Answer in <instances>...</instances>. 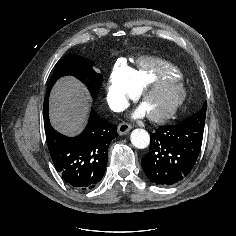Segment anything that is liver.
<instances>
[{
	"mask_svg": "<svg viewBox=\"0 0 236 236\" xmlns=\"http://www.w3.org/2000/svg\"><path fill=\"white\" fill-rule=\"evenodd\" d=\"M89 96L83 85L71 77L57 82L50 96V120L66 135L81 131L89 113Z\"/></svg>",
	"mask_w": 236,
	"mask_h": 236,
	"instance_id": "liver-1",
	"label": "liver"
}]
</instances>
